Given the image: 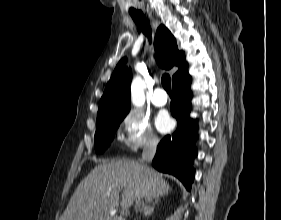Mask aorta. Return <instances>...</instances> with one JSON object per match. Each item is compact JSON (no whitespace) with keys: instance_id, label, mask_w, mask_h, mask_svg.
I'll list each match as a JSON object with an SVG mask.
<instances>
[{"instance_id":"1","label":"aorta","mask_w":281,"mask_h":220,"mask_svg":"<svg viewBox=\"0 0 281 220\" xmlns=\"http://www.w3.org/2000/svg\"><path fill=\"white\" fill-rule=\"evenodd\" d=\"M131 101L136 107L145 103V83L140 76L134 77L131 83Z\"/></svg>"}]
</instances>
